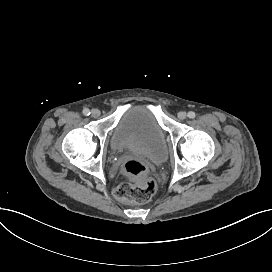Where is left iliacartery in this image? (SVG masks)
I'll use <instances>...</instances> for the list:
<instances>
[{"mask_svg":"<svg viewBox=\"0 0 272 272\" xmlns=\"http://www.w3.org/2000/svg\"><path fill=\"white\" fill-rule=\"evenodd\" d=\"M189 118L193 119L195 118V113L193 111H190L188 112V115H187Z\"/></svg>","mask_w":272,"mask_h":272,"instance_id":"44dca946","label":"left iliac artery"}]
</instances>
